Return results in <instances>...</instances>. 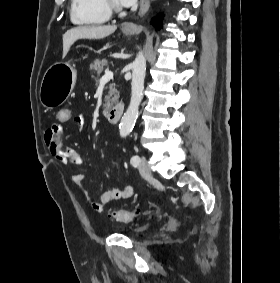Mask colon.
Masks as SVG:
<instances>
[{
    "instance_id": "5ec220e1",
    "label": "colon",
    "mask_w": 280,
    "mask_h": 283,
    "mask_svg": "<svg viewBox=\"0 0 280 283\" xmlns=\"http://www.w3.org/2000/svg\"><path fill=\"white\" fill-rule=\"evenodd\" d=\"M55 119H57L60 125H67L72 119L71 107L57 108ZM138 215V211L117 210L112 213L111 217L117 221L129 222Z\"/></svg>"
}]
</instances>
